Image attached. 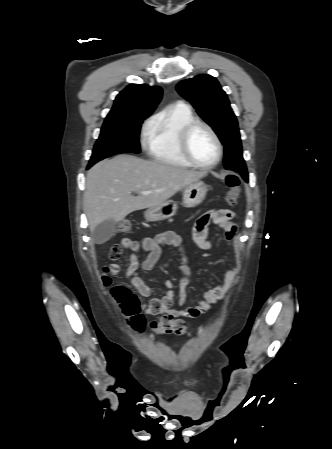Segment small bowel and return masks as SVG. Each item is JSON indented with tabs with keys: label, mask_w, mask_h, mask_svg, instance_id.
I'll return each instance as SVG.
<instances>
[{
	"label": "small bowel",
	"mask_w": 332,
	"mask_h": 449,
	"mask_svg": "<svg viewBox=\"0 0 332 449\" xmlns=\"http://www.w3.org/2000/svg\"><path fill=\"white\" fill-rule=\"evenodd\" d=\"M236 214L227 209H214L200 215L193 226V240L195 245L202 250H208L212 242L208 238L209 227L211 224L218 226L225 235V238L231 245L237 231V225L234 222ZM125 247L129 248V264L125 275L128 281L143 297H149L152 293L151 288L143 281L138 273L141 268L144 271L151 270L158 262L163 247H174L181 254L179 270L182 274L179 283L178 304L182 307L186 302V285L189 282L190 269L188 266L189 257L185 245L179 235L174 232H163L155 237H147L141 241L123 239ZM147 253L146 259L140 263L138 259L139 252ZM120 272L118 264H109L103 268L101 277L104 285L109 286L113 283V278ZM238 273L236 264H226L223 281L215 283L206 288L202 298L191 307L174 309V284L171 280L165 279L164 284L166 293L161 298H153L148 303L142 304V310L148 315L168 314L173 317H185L188 319L197 318L207 313L212 305L217 303L232 287L235 277Z\"/></svg>",
	"instance_id": "c3829d8e"
}]
</instances>
